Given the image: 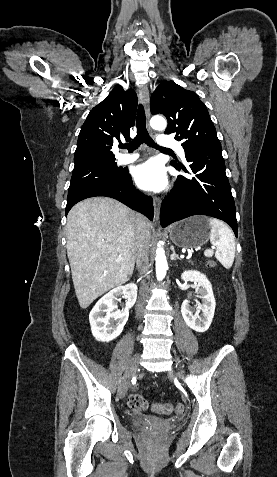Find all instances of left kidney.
Returning <instances> with one entry per match:
<instances>
[{
	"label": "left kidney",
	"instance_id": "5707ae66",
	"mask_svg": "<svg viewBox=\"0 0 277 477\" xmlns=\"http://www.w3.org/2000/svg\"><path fill=\"white\" fill-rule=\"evenodd\" d=\"M181 278L184 281L196 282V291L202 299V305L196 312L191 308L190 302L185 299L181 305L182 317L188 327L203 333L209 329L215 312L216 302L212 285L206 275L196 270L183 272ZM200 311L202 313L199 315Z\"/></svg>",
	"mask_w": 277,
	"mask_h": 477
}]
</instances>
